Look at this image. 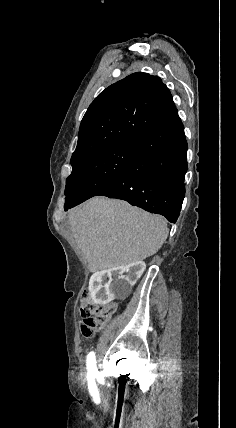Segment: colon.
<instances>
[{"instance_id":"1","label":"colon","mask_w":236,"mask_h":428,"mask_svg":"<svg viewBox=\"0 0 236 428\" xmlns=\"http://www.w3.org/2000/svg\"><path fill=\"white\" fill-rule=\"evenodd\" d=\"M117 310V304L95 305L87 290L81 296V333L85 338H91L99 333L111 320Z\"/></svg>"}]
</instances>
